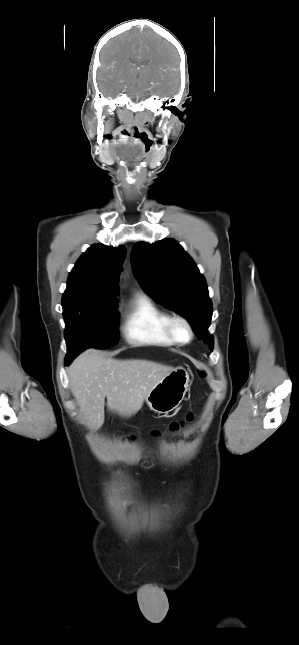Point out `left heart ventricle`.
<instances>
[{"label":"left heart ventricle","instance_id":"left-heart-ventricle-1","mask_svg":"<svg viewBox=\"0 0 299 645\" xmlns=\"http://www.w3.org/2000/svg\"><path fill=\"white\" fill-rule=\"evenodd\" d=\"M175 329H176V332H177V334H178V336L180 338H182V339L187 338V331H186L184 326L178 324V325H176Z\"/></svg>","mask_w":299,"mask_h":645}]
</instances>
